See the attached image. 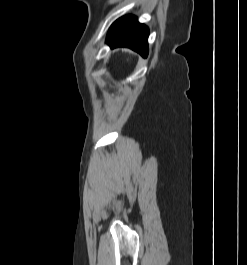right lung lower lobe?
<instances>
[{
    "instance_id": "right-lung-lower-lobe-1",
    "label": "right lung lower lobe",
    "mask_w": 247,
    "mask_h": 265,
    "mask_svg": "<svg viewBox=\"0 0 247 265\" xmlns=\"http://www.w3.org/2000/svg\"><path fill=\"white\" fill-rule=\"evenodd\" d=\"M147 38L148 28L138 23L136 17L125 16L113 23L107 42L112 48L129 47L142 56H147Z\"/></svg>"
}]
</instances>
